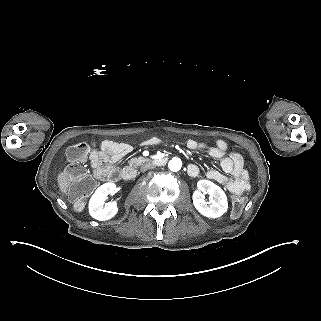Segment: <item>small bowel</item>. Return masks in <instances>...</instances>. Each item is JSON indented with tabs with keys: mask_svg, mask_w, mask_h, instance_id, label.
Here are the masks:
<instances>
[{
	"mask_svg": "<svg viewBox=\"0 0 321 321\" xmlns=\"http://www.w3.org/2000/svg\"><path fill=\"white\" fill-rule=\"evenodd\" d=\"M160 138L149 137L143 141L145 146H154L160 143ZM187 148L190 150H203L209 156L220 161L221 169L224 173L210 169L206 172V177L218 182L226 187L230 192L240 194L250 189L249 175L244 168L243 158L239 153L229 152L225 141L218 140L212 147L204 143H198L193 139L187 141ZM132 147L127 143L103 140L100 148L93 150L90 154V163L94 174L99 179L109 178L117 174L114 165L123 157L129 154ZM188 173L192 177L198 176L200 170L198 166L190 164Z\"/></svg>",
	"mask_w": 321,
	"mask_h": 321,
	"instance_id": "1",
	"label": "small bowel"
}]
</instances>
